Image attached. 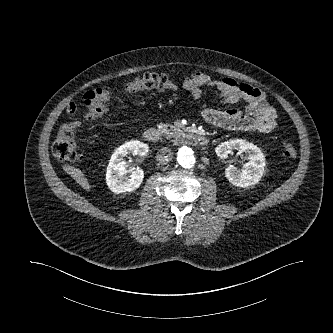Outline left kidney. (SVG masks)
I'll use <instances>...</instances> for the list:
<instances>
[{"mask_svg": "<svg viewBox=\"0 0 333 333\" xmlns=\"http://www.w3.org/2000/svg\"><path fill=\"white\" fill-rule=\"evenodd\" d=\"M234 149L238 150L240 154H246L248 162L242 170L229 165L225 170L226 178L237 187H248L256 184L262 177L265 167V157L260 148L248 141L234 139L223 142L216 147L215 151L218 157L226 159Z\"/></svg>", "mask_w": 333, "mask_h": 333, "instance_id": "obj_1", "label": "left kidney"}]
</instances>
